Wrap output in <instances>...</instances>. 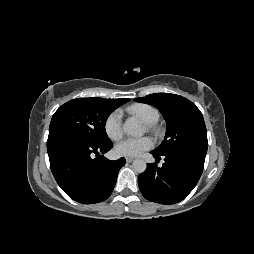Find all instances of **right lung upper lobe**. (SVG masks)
<instances>
[{"mask_svg":"<svg viewBox=\"0 0 254 254\" xmlns=\"http://www.w3.org/2000/svg\"><path fill=\"white\" fill-rule=\"evenodd\" d=\"M109 100H110L111 104L114 105L116 108L129 101L128 98L109 99Z\"/></svg>","mask_w":254,"mask_h":254,"instance_id":"cb5924a9","label":"right lung upper lobe"}]
</instances>
